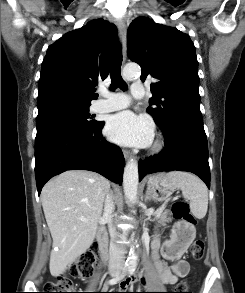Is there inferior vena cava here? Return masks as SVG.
<instances>
[{
    "mask_svg": "<svg viewBox=\"0 0 245 293\" xmlns=\"http://www.w3.org/2000/svg\"><path fill=\"white\" fill-rule=\"evenodd\" d=\"M114 204L112 196L107 194L104 205L103 217L108 223L109 233L111 237L109 248V269L112 271L122 270L124 266V254L122 250L114 243L116 238V230L112 225Z\"/></svg>",
    "mask_w": 245,
    "mask_h": 293,
    "instance_id": "obj_1",
    "label": "inferior vena cava"
}]
</instances>
